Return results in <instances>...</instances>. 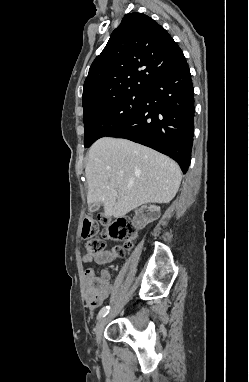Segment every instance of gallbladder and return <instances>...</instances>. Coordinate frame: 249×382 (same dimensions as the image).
Segmentation results:
<instances>
[{
	"label": "gallbladder",
	"instance_id": "1",
	"mask_svg": "<svg viewBox=\"0 0 249 382\" xmlns=\"http://www.w3.org/2000/svg\"><path fill=\"white\" fill-rule=\"evenodd\" d=\"M100 207H101V203H92L89 205V211L92 213L96 212L100 209Z\"/></svg>",
	"mask_w": 249,
	"mask_h": 382
}]
</instances>
